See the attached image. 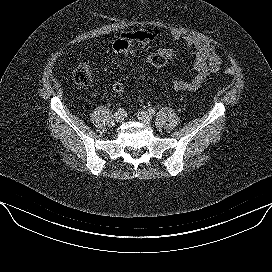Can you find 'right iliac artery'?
Wrapping results in <instances>:
<instances>
[{"label": "right iliac artery", "instance_id": "right-iliac-artery-1", "mask_svg": "<svg viewBox=\"0 0 272 272\" xmlns=\"http://www.w3.org/2000/svg\"><path fill=\"white\" fill-rule=\"evenodd\" d=\"M117 111H118V113L122 114L124 112V109L123 108H119Z\"/></svg>", "mask_w": 272, "mask_h": 272}]
</instances>
